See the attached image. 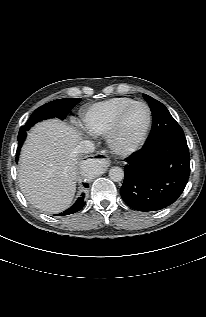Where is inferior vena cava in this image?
I'll return each instance as SVG.
<instances>
[{
	"mask_svg": "<svg viewBox=\"0 0 206 317\" xmlns=\"http://www.w3.org/2000/svg\"><path fill=\"white\" fill-rule=\"evenodd\" d=\"M76 150L78 153L81 154L92 153L95 150V146L91 141H80L79 144L76 146Z\"/></svg>",
	"mask_w": 206,
	"mask_h": 317,
	"instance_id": "inferior-vena-cava-1",
	"label": "inferior vena cava"
}]
</instances>
